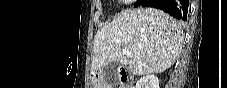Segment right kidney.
I'll return each mask as SVG.
<instances>
[{
	"mask_svg": "<svg viewBox=\"0 0 227 88\" xmlns=\"http://www.w3.org/2000/svg\"><path fill=\"white\" fill-rule=\"evenodd\" d=\"M159 79L155 75H146L136 83V88H159Z\"/></svg>",
	"mask_w": 227,
	"mask_h": 88,
	"instance_id": "ca27d5eb",
	"label": "right kidney"
}]
</instances>
